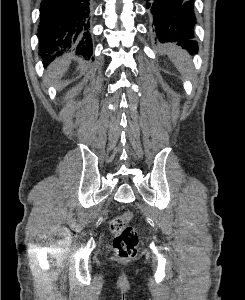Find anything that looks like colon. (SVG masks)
<instances>
[{
	"mask_svg": "<svg viewBox=\"0 0 245 300\" xmlns=\"http://www.w3.org/2000/svg\"><path fill=\"white\" fill-rule=\"evenodd\" d=\"M133 215L129 211L114 217L110 221L112 232L113 248L115 254L123 259L132 258L137 253L138 234L136 229L130 225Z\"/></svg>",
	"mask_w": 245,
	"mask_h": 300,
	"instance_id": "1",
	"label": "colon"
}]
</instances>
